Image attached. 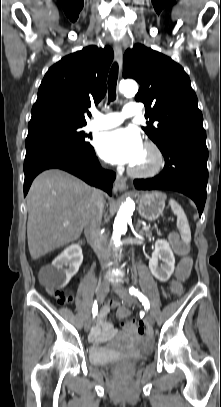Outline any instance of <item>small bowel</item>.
<instances>
[{"mask_svg":"<svg viewBox=\"0 0 221 407\" xmlns=\"http://www.w3.org/2000/svg\"><path fill=\"white\" fill-rule=\"evenodd\" d=\"M118 305L119 303L117 301H113L101 308L97 325L93 333L90 335V340L95 344H100L118 334V329L112 323L106 321V317L109 314L110 310L112 308H117ZM123 330L125 333L132 332V330Z\"/></svg>","mask_w":221,"mask_h":407,"instance_id":"c3829d8e","label":"small bowel"}]
</instances>
